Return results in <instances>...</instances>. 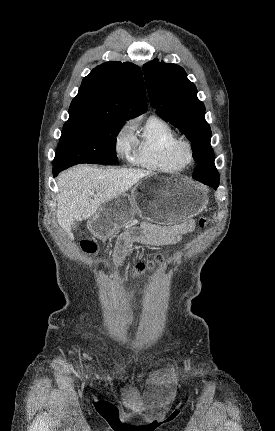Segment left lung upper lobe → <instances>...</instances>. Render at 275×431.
<instances>
[{
  "instance_id": "left-lung-upper-lobe-1",
  "label": "left lung upper lobe",
  "mask_w": 275,
  "mask_h": 431,
  "mask_svg": "<svg viewBox=\"0 0 275 431\" xmlns=\"http://www.w3.org/2000/svg\"><path fill=\"white\" fill-rule=\"evenodd\" d=\"M145 82L151 105L156 113L177 127L192 142L193 158L197 166L193 174L213 173L219 183L210 145L211 130L204 119L205 106L197 98L194 83L180 66L159 62L143 65Z\"/></svg>"
}]
</instances>
